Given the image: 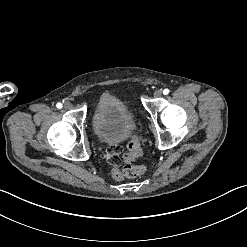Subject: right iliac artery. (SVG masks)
Returning a JSON list of instances; mask_svg holds the SVG:
<instances>
[{
  "mask_svg": "<svg viewBox=\"0 0 247 247\" xmlns=\"http://www.w3.org/2000/svg\"><path fill=\"white\" fill-rule=\"evenodd\" d=\"M56 107L61 109L62 108V104L61 103H57Z\"/></svg>",
  "mask_w": 247,
  "mask_h": 247,
  "instance_id": "right-iliac-artery-1",
  "label": "right iliac artery"
}]
</instances>
